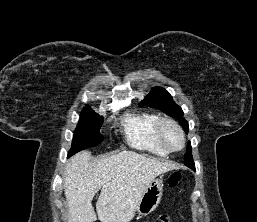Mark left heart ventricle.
Wrapping results in <instances>:
<instances>
[{"mask_svg": "<svg viewBox=\"0 0 257 222\" xmlns=\"http://www.w3.org/2000/svg\"><path fill=\"white\" fill-rule=\"evenodd\" d=\"M164 138L167 144L173 148L177 149L181 146L182 141L177 130L171 126H166L163 131Z\"/></svg>", "mask_w": 257, "mask_h": 222, "instance_id": "b2bd125f", "label": "left heart ventricle"}]
</instances>
